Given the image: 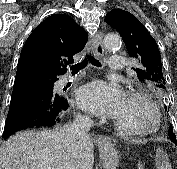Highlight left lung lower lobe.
<instances>
[{
    "label": "left lung lower lobe",
    "instance_id": "obj_1",
    "mask_svg": "<svg viewBox=\"0 0 177 169\" xmlns=\"http://www.w3.org/2000/svg\"><path fill=\"white\" fill-rule=\"evenodd\" d=\"M169 138H170V140H171L173 143H175V144L177 145L176 137L172 136V137H169Z\"/></svg>",
    "mask_w": 177,
    "mask_h": 169
}]
</instances>
